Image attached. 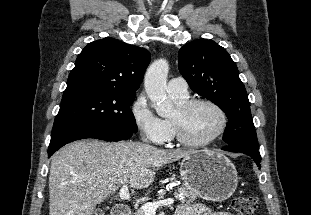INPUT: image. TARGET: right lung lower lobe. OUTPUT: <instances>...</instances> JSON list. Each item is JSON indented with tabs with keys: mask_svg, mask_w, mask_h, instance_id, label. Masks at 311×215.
<instances>
[{
	"mask_svg": "<svg viewBox=\"0 0 311 215\" xmlns=\"http://www.w3.org/2000/svg\"><path fill=\"white\" fill-rule=\"evenodd\" d=\"M134 133L126 131H101V130H79L65 132L58 135H54L51 138L48 147V157L53 155L59 148L67 143L75 140L85 139V138H95L105 141H120L129 139Z\"/></svg>",
	"mask_w": 311,
	"mask_h": 215,
	"instance_id": "98d812e1",
	"label": "right lung lower lobe"
}]
</instances>
